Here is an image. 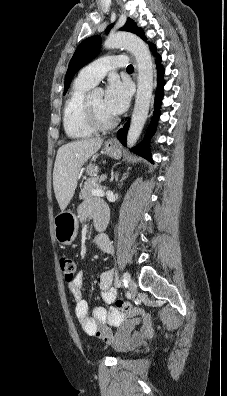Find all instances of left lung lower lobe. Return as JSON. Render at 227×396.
I'll return each instance as SVG.
<instances>
[{
    "label": "left lung lower lobe",
    "instance_id": "left-lung-lower-lobe-1",
    "mask_svg": "<svg viewBox=\"0 0 227 396\" xmlns=\"http://www.w3.org/2000/svg\"><path fill=\"white\" fill-rule=\"evenodd\" d=\"M150 48L152 50L153 53H155L156 47L154 44H149ZM157 57V69H158V87H157V92H156V102H155V114H154V118L153 121L149 127V133L152 134L155 131V126H156V121H157V117H158V111H159V107L161 104V99H162V95H163V85H164V81H163V75H164V69L163 67L160 65V61L161 58L160 56H156ZM129 128V121L124 125L123 129H120L117 133V137L118 140L124 145L126 146V137H127V131ZM135 152L145 158H147L149 161L153 162L151 159V155L150 152L148 150V148H146V143L143 144L142 146L138 147L135 149Z\"/></svg>",
    "mask_w": 227,
    "mask_h": 396
}]
</instances>
